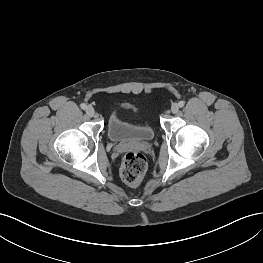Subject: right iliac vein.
I'll return each mask as SVG.
<instances>
[{
    "label": "right iliac vein",
    "mask_w": 263,
    "mask_h": 263,
    "mask_svg": "<svg viewBox=\"0 0 263 263\" xmlns=\"http://www.w3.org/2000/svg\"><path fill=\"white\" fill-rule=\"evenodd\" d=\"M86 114L89 116V117H93L94 114H95V110L92 106H88L86 108Z\"/></svg>",
    "instance_id": "63e3f726"
}]
</instances>
